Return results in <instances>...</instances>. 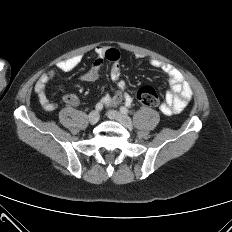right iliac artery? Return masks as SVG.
<instances>
[{"instance_id":"1","label":"right iliac artery","mask_w":232,"mask_h":232,"mask_svg":"<svg viewBox=\"0 0 232 232\" xmlns=\"http://www.w3.org/2000/svg\"><path fill=\"white\" fill-rule=\"evenodd\" d=\"M95 109L96 111H101L103 109V104L101 102L97 103Z\"/></svg>"}]
</instances>
